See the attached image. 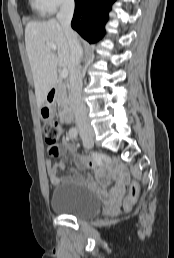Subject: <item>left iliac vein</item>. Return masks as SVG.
<instances>
[{"mask_svg":"<svg viewBox=\"0 0 174 258\" xmlns=\"http://www.w3.org/2000/svg\"><path fill=\"white\" fill-rule=\"evenodd\" d=\"M83 145L87 149H91L94 145L93 139L89 137H83Z\"/></svg>","mask_w":174,"mask_h":258,"instance_id":"left-iliac-vein-1","label":"left iliac vein"}]
</instances>
